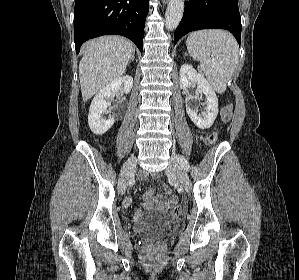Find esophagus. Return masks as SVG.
<instances>
[{"label":"esophagus","instance_id":"esophagus-1","mask_svg":"<svg viewBox=\"0 0 299 280\" xmlns=\"http://www.w3.org/2000/svg\"><path fill=\"white\" fill-rule=\"evenodd\" d=\"M169 0H163V3H167Z\"/></svg>","mask_w":299,"mask_h":280}]
</instances>
